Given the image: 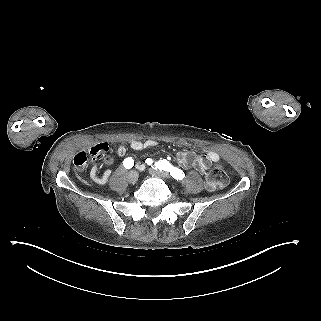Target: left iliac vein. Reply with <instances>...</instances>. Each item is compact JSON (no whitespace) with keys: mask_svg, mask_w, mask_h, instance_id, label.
<instances>
[{"mask_svg":"<svg viewBox=\"0 0 321 321\" xmlns=\"http://www.w3.org/2000/svg\"><path fill=\"white\" fill-rule=\"evenodd\" d=\"M149 173L153 176L159 177V178H169V174L163 171H159L157 169H149Z\"/></svg>","mask_w":321,"mask_h":321,"instance_id":"1","label":"left iliac vein"}]
</instances>
